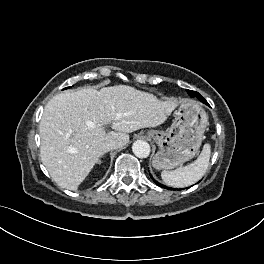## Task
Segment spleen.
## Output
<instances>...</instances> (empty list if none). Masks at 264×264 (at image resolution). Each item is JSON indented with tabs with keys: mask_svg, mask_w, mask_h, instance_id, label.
<instances>
[{
	"mask_svg": "<svg viewBox=\"0 0 264 264\" xmlns=\"http://www.w3.org/2000/svg\"><path fill=\"white\" fill-rule=\"evenodd\" d=\"M211 146L206 143L198 158L185 167L174 171H162L161 177L165 184L171 187H187L200 180L209 167Z\"/></svg>",
	"mask_w": 264,
	"mask_h": 264,
	"instance_id": "obj_1",
	"label": "spleen"
}]
</instances>
